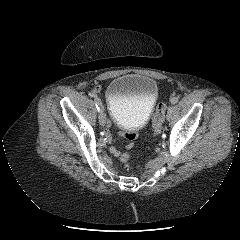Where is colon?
I'll list each match as a JSON object with an SVG mask.
<instances>
[{
	"instance_id": "5ec220e1",
	"label": "colon",
	"mask_w": 240,
	"mask_h": 240,
	"mask_svg": "<svg viewBox=\"0 0 240 240\" xmlns=\"http://www.w3.org/2000/svg\"><path fill=\"white\" fill-rule=\"evenodd\" d=\"M165 109H166V105L164 102H160L156 107V110L152 119L154 135H159L163 130ZM128 157H129L128 154H123L121 157V160L125 162L127 161Z\"/></svg>"
}]
</instances>
